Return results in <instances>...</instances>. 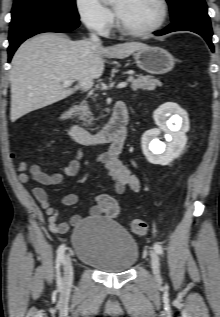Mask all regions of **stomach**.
Returning <instances> with one entry per match:
<instances>
[{"mask_svg":"<svg viewBox=\"0 0 220 317\" xmlns=\"http://www.w3.org/2000/svg\"><path fill=\"white\" fill-rule=\"evenodd\" d=\"M136 64L150 74H164L174 67V57L161 47L146 46L134 54Z\"/></svg>","mask_w":220,"mask_h":317,"instance_id":"obj_1","label":"stomach"}]
</instances>
